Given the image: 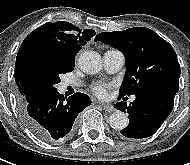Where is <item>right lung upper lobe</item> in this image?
Wrapping results in <instances>:
<instances>
[{
	"mask_svg": "<svg viewBox=\"0 0 190 165\" xmlns=\"http://www.w3.org/2000/svg\"><path fill=\"white\" fill-rule=\"evenodd\" d=\"M94 35L95 31L93 30L81 31L65 21L46 23L32 31L22 42L16 58L15 83L23 102L26 103L32 98L26 82L25 60L33 47L44 46L74 59L76 53Z\"/></svg>",
	"mask_w": 190,
	"mask_h": 165,
	"instance_id": "obj_1",
	"label": "right lung upper lobe"
}]
</instances>
